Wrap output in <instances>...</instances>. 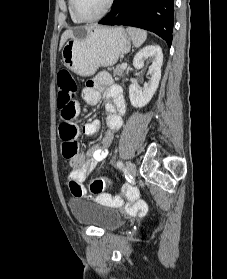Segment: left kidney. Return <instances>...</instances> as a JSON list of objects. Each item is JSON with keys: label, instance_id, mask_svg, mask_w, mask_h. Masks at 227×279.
<instances>
[{"label": "left kidney", "instance_id": "obj_1", "mask_svg": "<svg viewBox=\"0 0 227 279\" xmlns=\"http://www.w3.org/2000/svg\"><path fill=\"white\" fill-rule=\"evenodd\" d=\"M148 58L152 59V64L148 69L149 81L144 84L143 89H140L135 84H131L129 87L130 102L135 108H142L150 102L161 79V66L163 63L161 47L149 45L141 49L134 57L133 66L136 69L143 68L144 60Z\"/></svg>", "mask_w": 227, "mask_h": 279}]
</instances>
